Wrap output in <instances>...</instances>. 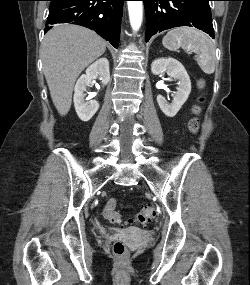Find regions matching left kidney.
<instances>
[{
    "mask_svg": "<svg viewBox=\"0 0 250 285\" xmlns=\"http://www.w3.org/2000/svg\"><path fill=\"white\" fill-rule=\"evenodd\" d=\"M151 72L154 75L166 72L170 77L178 80L177 92L171 103H168L162 95L157 96V103L161 111L168 117H174L191 92V81L187 71L176 59L158 58L152 62Z\"/></svg>",
    "mask_w": 250,
    "mask_h": 285,
    "instance_id": "left-kidney-1",
    "label": "left kidney"
}]
</instances>
